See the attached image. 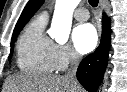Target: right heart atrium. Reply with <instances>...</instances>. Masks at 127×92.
<instances>
[{"mask_svg": "<svg viewBox=\"0 0 127 92\" xmlns=\"http://www.w3.org/2000/svg\"><path fill=\"white\" fill-rule=\"evenodd\" d=\"M79 60L78 54L68 44H55L54 62L57 70H64Z\"/></svg>", "mask_w": 127, "mask_h": 92, "instance_id": "1", "label": "right heart atrium"}]
</instances>
